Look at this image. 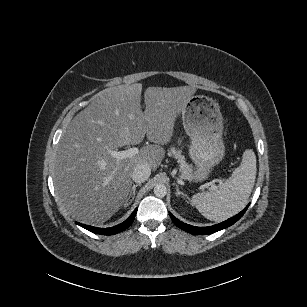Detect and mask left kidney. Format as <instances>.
Segmentation results:
<instances>
[{
	"instance_id": "1",
	"label": "left kidney",
	"mask_w": 307,
	"mask_h": 307,
	"mask_svg": "<svg viewBox=\"0 0 307 307\" xmlns=\"http://www.w3.org/2000/svg\"><path fill=\"white\" fill-rule=\"evenodd\" d=\"M176 210L179 211L180 215L187 216V212L180 206H176Z\"/></svg>"
}]
</instances>
